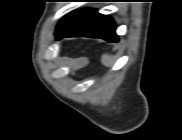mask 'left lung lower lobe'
<instances>
[{"label":"left lung lower lobe","mask_w":182,"mask_h":140,"mask_svg":"<svg viewBox=\"0 0 182 140\" xmlns=\"http://www.w3.org/2000/svg\"><path fill=\"white\" fill-rule=\"evenodd\" d=\"M113 19L94 11L79 24L61 36L101 38L108 42H118ZM60 38L58 35L56 36Z\"/></svg>","instance_id":"1"}]
</instances>
